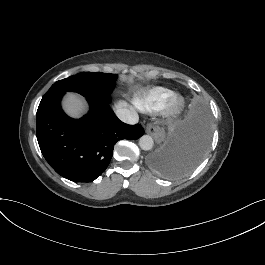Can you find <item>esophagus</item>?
<instances>
[{
	"mask_svg": "<svg viewBox=\"0 0 265 265\" xmlns=\"http://www.w3.org/2000/svg\"><path fill=\"white\" fill-rule=\"evenodd\" d=\"M146 133L150 134L151 136L154 137V139L157 142H160L163 140L164 136H165V131L163 128H161L158 125H147L146 127Z\"/></svg>",
	"mask_w": 265,
	"mask_h": 265,
	"instance_id": "34e87169",
	"label": "esophagus"
}]
</instances>
